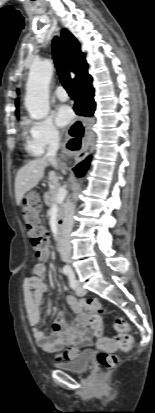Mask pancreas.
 I'll use <instances>...</instances> for the list:
<instances>
[{
  "label": "pancreas",
  "instance_id": "pancreas-1",
  "mask_svg": "<svg viewBox=\"0 0 155 413\" xmlns=\"http://www.w3.org/2000/svg\"><path fill=\"white\" fill-rule=\"evenodd\" d=\"M59 188H60L59 184L55 183L51 185L49 191L44 194V201L48 207H51L53 204L57 203L56 198H57V192ZM57 206H58L57 218L61 219L63 216L64 209H65V203H58Z\"/></svg>",
  "mask_w": 155,
  "mask_h": 413
}]
</instances>
